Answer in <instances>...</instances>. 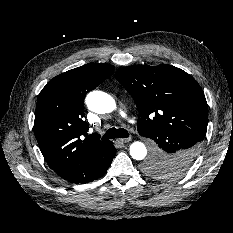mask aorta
Segmentation results:
<instances>
[{
	"mask_svg": "<svg viewBox=\"0 0 233 233\" xmlns=\"http://www.w3.org/2000/svg\"><path fill=\"white\" fill-rule=\"evenodd\" d=\"M86 104L89 110L105 114L110 113L116 108V102L112 96L102 91H92L86 96ZM130 155L135 160H143L147 155L144 143L133 142L130 146Z\"/></svg>",
	"mask_w": 233,
	"mask_h": 233,
	"instance_id": "obj_1",
	"label": "aorta"
}]
</instances>
